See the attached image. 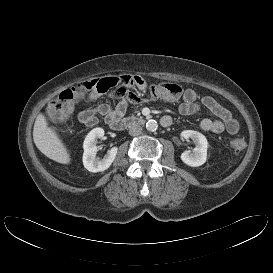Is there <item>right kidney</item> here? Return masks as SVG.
<instances>
[{
  "label": "right kidney",
  "mask_w": 273,
  "mask_h": 273,
  "mask_svg": "<svg viewBox=\"0 0 273 273\" xmlns=\"http://www.w3.org/2000/svg\"><path fill=\"white\" fill-rule=\"evenodd\" d=\"M104 136L103 128H94L86 136L83 148V165L90 172H101L107 170L113 163L118 148H111L103 159L100 160L99 157H96L97 153V139Z\"/></svg>",
  "instance_id": "ca27d5eb"
}]
</instances>
